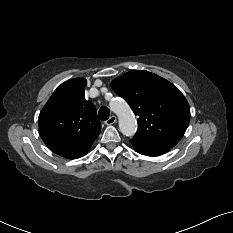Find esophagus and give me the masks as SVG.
Instances as JSON below:
<instances>
[{
    "label": "esophagus",
    "mask_w": 233,
    "mask_h": 233,
    "mask_svg": "<svg viewBox=\"0 0 233 233\" xmlns=\"http://www.w3.org/2000/svg\"><path fill=\"white\" fill-rule=\"evenodd\" d=\"M117 121V117L112 115L110 116L106 121H105V124L106 125H112L114 124L115 122Z\"/></svg>",
    "instance_id": "esophagus-1"
}]
</instances>
